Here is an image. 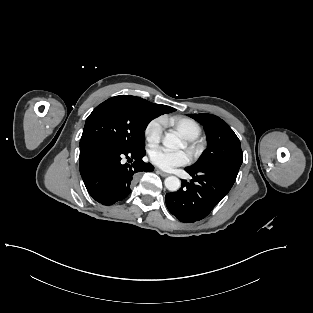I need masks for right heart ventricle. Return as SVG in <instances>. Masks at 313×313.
<instances>
[{
    "instance_id": "1",
    "label": "right heart ventricle",
    "mask_w": 313,
    "mask_h": 313,
    "mask_svg": "<svg viewBox=\"0 0 313 313\" xmlns=\"http://www.w3.org/2000/svg\"><path fill=\"white\" fill-rule=\"evenodd\" d=\"M164 122L188 140L198 138L202 132L201 125L189 117L172 116L165 118Z\"/></svg>"
}]
</instances>
